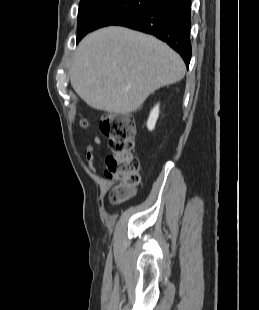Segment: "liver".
<instances>
[{
    "label": "liver",
    "instance_id": "6515ba94",
    "mask_svg": "<svg viewBox=\"0 0 259 310\" xmlns=\"http://www.w3.org/2000/svg\"><path fill=\"white\" fill-rule=\"evenodd\" d=\"M185 72L182 58L162 41L111 26L79 43L70 81L90 107L123 115L135 112L160 87L179 82Z\"/></svg>",
    "mask_w": 259,
    "mask_h": 310
}]
</instances>
